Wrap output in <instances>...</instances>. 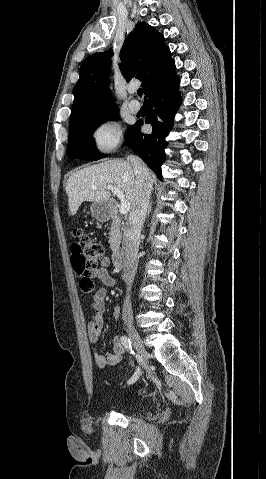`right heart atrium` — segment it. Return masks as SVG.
<instances>
[{
    "instance_id": "1",
    "label": "right heart atrium",
    "mask_w": 266,
    "mask_h": 479,
    "mask_svg": "<svg viewBox=\"0 0 266 479\" xmlns=\"http://www.w3.org/2000/svg\"><path fill=\"white\" fill-rule=\"evenodd\" d=\"M92 140L98 150L112 151L121 141V129L114 121H104L94 128Z\"/></svg>"
}]
</instances>
